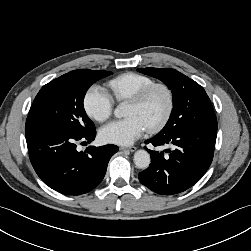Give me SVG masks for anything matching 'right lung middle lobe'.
<instances>
[{
  "label": "right lung middle lobe",
  "mask_w": 251,
  "mask_h": 251,
  "mask_svg": "<svg viewBox=\"0 0 251 251\" xmlns=\"http://www.w3.org/2000/svg\"><path fill=\"white\" fill-rule=\"evenodd\" d=\"M111 74L82 69L52 80L35 97L27 121L45 123L80 135L91 133L95 125L84 110V96L93 83Z\"/></svg>",
  "instance_id": "right-lung-middle-lobe-1"
}]
</instances>
